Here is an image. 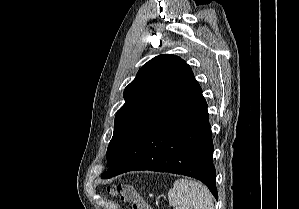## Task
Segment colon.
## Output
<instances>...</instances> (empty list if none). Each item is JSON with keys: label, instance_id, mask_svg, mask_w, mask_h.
<instances>
[{"label": "colon", "instance_id": "obj_1", "mask_svg": "<svg viewBox=\"0 0 299 209\" xmlns=\"http://www.w3.org/2000/svg\"><path fill=\"white\" fill-rule=\"evenodd\" d=\"M107 191L120 197L121 200L131 202L132 209H150L149 205L141 198L136 187L129 183H123L107 187Z\"/></svg>", "mask_w": 299, "mask_h": 209}]
</instances>
